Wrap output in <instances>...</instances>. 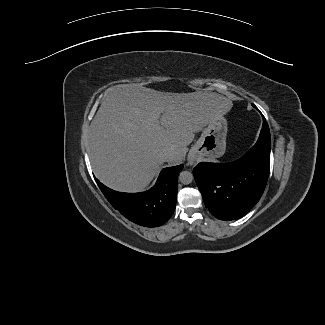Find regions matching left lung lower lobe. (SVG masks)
Returning a JSON list of instances; mask_svg holds the SVG:
<instances>
[{"mask_svg":"<svg viewBox=\"0 0 325 325\" xmlns=\"http://www.w3.org/2000/svg\"><path fill=\"white\" fill-rule=\"evenodd\" d=\"M271 137L263 116L256 144L231 163H199L193 174L206 208L220 220L245 215L261 198L270 170Z\"/></svg>","mask_w":325,"mask_h":325,"instance_id":"0a47b994","label":"left lung lower lobe"}]
</instances>
